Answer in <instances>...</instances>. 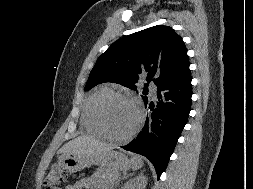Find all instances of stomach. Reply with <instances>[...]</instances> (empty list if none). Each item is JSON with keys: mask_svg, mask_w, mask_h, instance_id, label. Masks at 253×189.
<instances>
[{"mask_svg": "<svg viewBox=\"0 0 253 189\" xmlns=\"http://www.w3.org/2000/svg\"><path fill=\"white\" fill-rule=\"evenodd\" d=\"M130 160L121 152L110 150L99 156L62 154L58 159V165L69 173H75L85 167L101 165L112 170H127L130 168Z\"/></svg>", "mask_w": 253, "mask_h": 189, "instance_id": "1", "label": "stomach"}]
</instances>
